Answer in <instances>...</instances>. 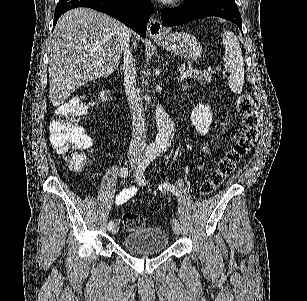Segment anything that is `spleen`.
I'll return each instance as SVG.
<instances>
[{
	"mask_svg": "<svg viewBox=\"0 0 307 301\" xmlns=\"http://www.w3.org/2000/svg\"><path fill=\"white\" fill-rule=\"evenodd\" d=\"M224 50V66L229 72L228 86L232 92L240 94L244 84V60L241 44L234 32L224 30L222 34Z\"/></svg>",
	"mask_w": 307,
	"mask_h": 301,
	"instance_id": "3e777b00",
	"label": "spleen"
}]
</instances>
